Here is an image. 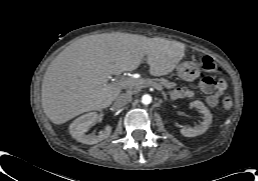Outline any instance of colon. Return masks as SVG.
Here are the masks:
<instances>
[{"instance_id": "1", "label": "colon", "mask_w": 258, "mask_h": 181, "mask_svg": "<svg viewBox=\"0 0 258 181\" xmlns=\"http://www.w3.org/2000/svg\"><path fill=\"white\" fill-rule=\"evenodd\" d=\"M203 66L206 70L211 71V72L218 73L221 71V68L209 58H206L203 61ZM222 104L225 108H227V109L230 108L232 106L231 97L229 95H225L222 99Z\"/></svg>"}]
</instances>
